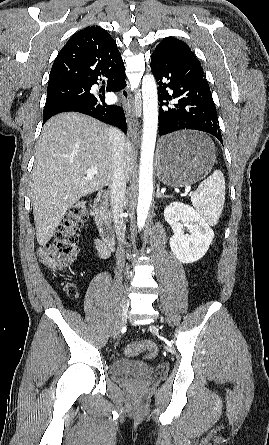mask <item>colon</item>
Returning <instances> with one entry per match:
<instances>
[{
	"instance_id": "1",
	"label": "colon",
	"mask_w": 269,
	"mask_h": 445,
	"mask_svg": "<svg viewBox=\"0 0 269 445\" xmlns=\"http://www.w3.org/2000/svg\"><path fill=\"white\" fill-rule=\"evenodd\" d=\"M88 218L86 200H79L68 209L52 242L38 250L39 258L44 265L52 270H62L71 265L78 252V231ZM142 351L153 357L157 354V347L153 342L141 341L130 343L124 348L126 356H135Z\"/></svg>"
}]
</instances>
